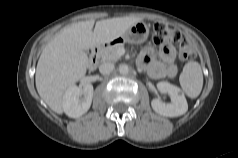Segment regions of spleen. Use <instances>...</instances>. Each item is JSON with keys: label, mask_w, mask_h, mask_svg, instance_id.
<instances>
[{"label": "spleen", "mask_w": 238, "mask_h": 158, "mask_svg": "<svg viewBox=\"0 0 238 158\" xmlns=\"http://www.w3.org/2000/svg\"><path fill=\"white\" fill-rule=\"evenodd\" d=\"M180 84L190 98L199 96L203 86V74L198 62H188L180 75Z\"/></svg>", "instance_id": "spleen-1"}]
</instances>
